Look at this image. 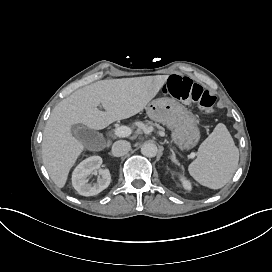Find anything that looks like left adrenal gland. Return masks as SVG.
I'll list each match as a JSON object with an SVG mask.
<instances>
[{
	"label": "left adrenal gland",
	"mask_w": 272,
	"mask_h": 272,
	"mask_svg": "<svg viewBox=\"0 0 272 272\" xmlns=\"http://www.w3.org/2000/svg\"><path fill=\"white\" fill-rule=\"evenodd\" d=\"M172 152V157H171V160L172 162L175 164V165H178V162L176 160V155H175V152L173 150H171Z\"/></svg>",
	"instance_id": "left-adrenal-gland-1"
}]
</instances>
